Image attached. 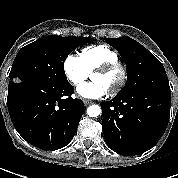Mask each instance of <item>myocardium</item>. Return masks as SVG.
<instances>
[{
	"label": "myocardium",
	"instance_id": "1",
	"mask_svg": "<svg viewBox=\"0 0 178 178\" xmlns=\"http://www.w3.org/2000/svg\"><path fill=\"white\" fill-rule=\"evenodd\" d=\"M117 72L119 74V79L116 85L110 90L111 94H115L121 90L127 80V69L119 61L105 63L92 71L94 73H110Z\"/></svg>",
	"mask_w": 178,
	"mask_h": 178
}]
</instances>
